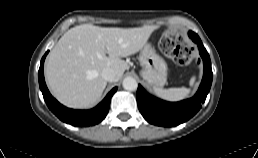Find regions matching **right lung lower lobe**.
<instances>
[{"label": "right lung lower lobe", "mask_w": 258, "mask_h": 158, "mask_svg": "<svg viewBox=\"0 0 258 158\" xmlns=\"http://www.w3.org/2000/svg\"><path fill=\"white\" fill-rule=\"evenodd\" d=\"M48 52L43 56L40 68L38 72L39 86L43 94V98L48 106V108L63 122L71 124L73 126H91L101 122L107 115L110 107V99L116 92L117 88H113L104 100L91 110H73L66 108L61 105L57 100H55L49 90L47 89L44 75H43V64L45 57Z\"/></svg>", "instance_id": "1"}]
</instances>
